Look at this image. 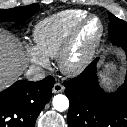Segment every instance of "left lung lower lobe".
<instances>
[{"label":"left lung lower lobe","instance_id":"obj_1","mask_svg":"<svg viewBox=\"0 0 127 127\" xmlns=\"http://www.w3.org/2000/svg\"><path fill=\"white\" fill-rule=\"evenodd\" d=\"M127 55V38L114 41ZM92 61L77 77L64 83L70 101L69 127H127V75L114 93H106L99 86L97 63Z\"/></svg>","mask_w":127,"mask_h":127}]
</instances>
